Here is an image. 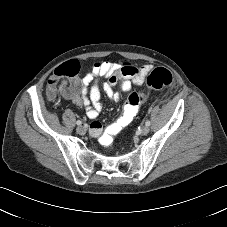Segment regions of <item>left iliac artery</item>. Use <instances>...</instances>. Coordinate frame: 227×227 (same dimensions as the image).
<instances>
[{
    "label": "left iliac artery",
    "mask_w": 227,
    "mask_h": 227,
    "mask_svg": "<svg viewBox=\"0 0 227 227\" xmlns=\"http://www.w3.org/2000/svg\"><path fill=\"white\" fill-rule=\"evenodd\" d=\"M150 124H151V122L149 120L146 121V123H145L146 126H150Z\"/></svg>",
    "instance_id": "1"
}]
</instances>
